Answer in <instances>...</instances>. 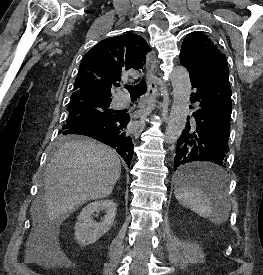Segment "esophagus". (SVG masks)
<instances>
[{
  "instance_id": "obj_1",
  "label": "esophagus",
  "mask_w": 263,
  "mask_h": 275,
  "mask_svg": "<svg viewBox=\"0 0 263 275\" xmlns=\"http://www.w3.org/2000/svg\"><path fill=\"white\" fill-rule=\"evenodd\" d=\"M157 59L155 56L154 51H151L147 55V61H146V68H147V81H148V112L142 116L140 119L138 125H137V131L135 135H139V133L144 129L145 127V119L146 116L150 114L152 111L154 104L156 102L157 94H158V87L162 85L160 78L157 76Z\"/></svg>"
}]
</instances>
